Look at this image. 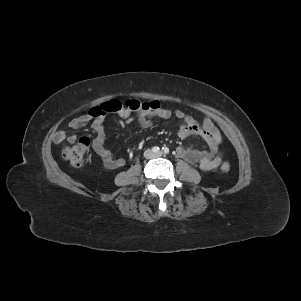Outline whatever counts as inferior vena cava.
<instances>
[{
    "label": "inferior vena cava",
    "instance_id": "1",
    "mask_svg": "<svg viewBox=\"0 0 301 301\" xmlns=\"http://www.w3.org/2000/svg\"><path fill=\"white\" fill-rule=\"evenodd\" d=\"M144 156H145L146 158H152V157L154 156V154L152 153V151L147 150V151L145 152Z\"/></svg>",
    "mask_w": 301,
    "mask_h": 301
}]
</instances>
